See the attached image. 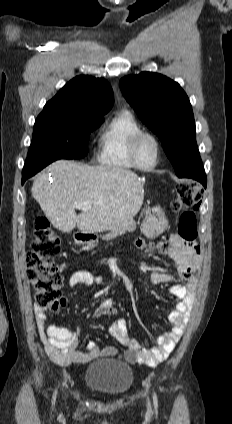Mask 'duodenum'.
<instances>
[{
  "instance_id": "duodenum-1",
  "label": "duodenum",
  "mask_w": 232,
  "mask_h": 424,
  "mask_svg": "<svg viewBox=\"0 0 232 424\" xmlns=\"http://www.w3.org/2000/svg\"><path fill=\"white\" fill-rule=\"evenodd\" d=\"M83 236L88 237V238H91V239H95L96 238V236L93 235V234L83 235Z\"/></svg>"
}]
</instances>
